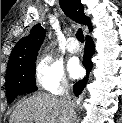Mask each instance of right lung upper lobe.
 Listing matches in <instances>:
<instances>
[{
    "mask_svg": "<svg viewBox=\"0 0 122 123\" xmlns=\"http://www.w3.org/2000/svg\"><path fill=\"white\" fill-rule=\"evenodd\" d=\"M60 6L67 16L80 24L87 25L92 30L89 17L84 14L80 0H59ZM45 29L38 23L30 31V35L21 39L14 47L8 61L7 70L20 65L22 62L37 56L44 40Z\"/></svg>",
    "mask_w": 122,
    "mask_h": 123,
    "instance_id": "cb5924a9",
    "label": "right lung upper lobe"
}]
</instances>
